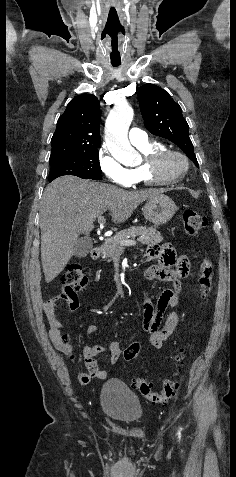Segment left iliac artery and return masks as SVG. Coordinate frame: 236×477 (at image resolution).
Listing matches in <instances>:
<instances>
[{
    "label": "left iliac artery",
    "mask_w": 236,
    "mask_h": 477,
    "mask_svg": "<svg viewBox=\"0 0 236 477\" xmlns=\"http://www.w3.org/2000/svg\"><path fill=\"white\" fill-rule=\"evenodd\" d=\"M178 435H179V439H180V437H181V433H180V430H179V432H178Z\"/></svg>",
    "instance_id": "obj_1"
}]
</instances>
